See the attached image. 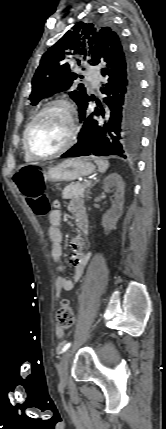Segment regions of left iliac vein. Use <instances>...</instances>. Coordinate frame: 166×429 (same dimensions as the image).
Here are the masks:
<instances>
[{
  "label": "left iliac vein",
  "mask_w": 166,
  "mask_h": 429,
  "mask_svg": "<svg viewBox=\"0 0 166 429\" xmlns=\"http://www.w3.org/2000/svg\"><path fill=\"white\" fill-rule=\"evenodd\" d=\"M70 356H71V350L69 349L64 353L59 364L58 373L60 377V382L63 385L67 383V373H68Z\"/></svg>",
  "instance_id": "1"
}]
</instances>
